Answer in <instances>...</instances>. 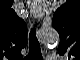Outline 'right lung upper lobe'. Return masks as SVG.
Listing matches in <instances>:
<instances>
[{"label": "right lung upper lobe", "instance_id": "right-lung-upper-lobe-1", "mask_svg": "<svg viewBox=\"0 0 80 60\" xmlns=\"http://www.w3.org/2000/svg\"><path fill=\"white\" fill-rule=\"evenodd\" d=\"M13 12V11H12ZM13 14V16H12ZM15 13H11V20L8 23L7 27L9 29V40L15 47H19L22 44L26 43V36L23 32V20L19 19Z\"/></svg>", "mask_w": 80, "mask_h": 60}]
</instances>
